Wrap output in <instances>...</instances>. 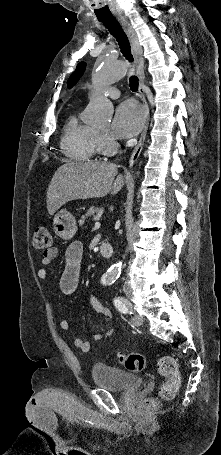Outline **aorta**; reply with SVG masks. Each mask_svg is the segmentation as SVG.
Here are the masks:
<instances>
[{"label":"aorta","mask_w":221,"mask_h":455,"mask_svg":"<svg viewBox=\"0 0 221 455\" xmlns=\"http://www.w3.org/2000/svg\"><path fill=\"white\" fill-rule=\"evenodd\" d=\"M127 71V66L124 62L114 61L106 58L101 61L94 69L92 73V84L95 89V93L91 98L88 107L86 109L84 121L92 125L106 124L110 121L113 114L112 103L102 96L99 91L100 89L110 83L121 80ZM122 269V262H116L113 264L105 274V280L107 282H113L116 280Z\"/></svg>","instance_id":"1"}]
</instances>
